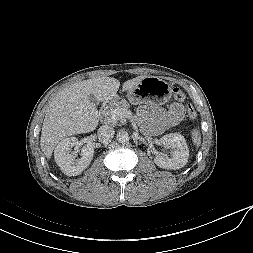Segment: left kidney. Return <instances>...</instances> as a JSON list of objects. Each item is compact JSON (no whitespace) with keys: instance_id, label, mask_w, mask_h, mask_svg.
Returning <instances> with one entry per match:
<instances>
[{"instance_id":"obj_1","label":"left kidney","mask_w":253,"mask_h":253,"mask_svg":"<svg viewBox=\"0 0 253 253\" xmlns=\"http://www.w3.org/2000/svg\"><path fill=\"white\" fill-rule=\"evenodd\" d=\"M161 143L171 146L174 151L171 152V158L157 155L154 163L163 169H180L186 165L189 158V149L185 138L179 133L166 134L161 138Z\"/></svg>"}]
</instances>
